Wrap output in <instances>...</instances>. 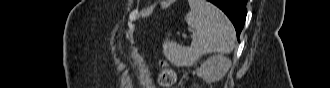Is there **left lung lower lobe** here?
<instances>
[{
  "label": "left lung lower lobe",
  "instance_id": "0a47b994",
  "mask_svg": "<svg viewBox=\"0 0 330 88\" xmlns=\"http://www.w3.org/2000/svg\"><path fill=\"white\" fill-rule=\"evenodd\" d=\"M219 7L233 23L237 38L243 29L246 18L247 0H208Z\"/></svg>",
  "mask_w": 330,
  "mask_h": 88
}]
</instances>
